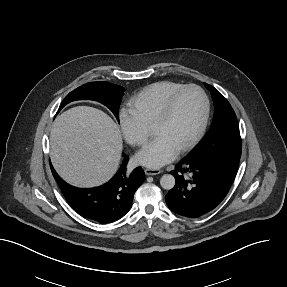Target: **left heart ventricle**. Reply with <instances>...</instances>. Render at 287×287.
<instances>
[{"label": "left heart ventricle", "instance_id": "obj_1", "mask_svg": "<svg viewBox=\"0 0 287 287\" xmlns=\"http://www.w3.org/2000/svg\"><path fill=\"white\" fill-rule=\"evenodd\" d=\"M202 111L200 94L195 90H187L177 97L169 118L156 126L153 133L165 138L179 150L196 131Z\"/></svg>", "mask_w": 287, "mask_h": 287}]
</instances>
